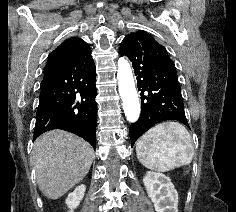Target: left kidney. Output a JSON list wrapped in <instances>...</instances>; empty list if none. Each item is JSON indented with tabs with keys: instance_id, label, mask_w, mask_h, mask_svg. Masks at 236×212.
Returning a JSON list of instances; mask_svg holds the SVG:
<instances>
[{
	"instance_id": "1",
	"label": "left kidney",
	"mask_w": 236,
	"mask_h": 212,
	"mask_svg": "<svg viewBox=\"0 0 236 212\" xmlns=\"http://www.w3.org/2000/svg\"><path fill=\"white\" fill-rule=\"evenodd\" d=\"M143 182L156 212H178V193L169 177L148 171Z\"/></svg>"
}]
</instances>
